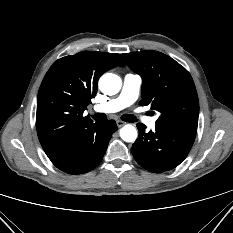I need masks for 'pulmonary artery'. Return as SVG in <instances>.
<instances>
[{
	"label": "pulmonary artery",
	"mask_w": 233,
	"mask_h": 233,
	"mask_svg": "<svg viewBox=\"0 0 233 233\" xmlns=\"http://www.w3.org/2000/svg\"><path fill=\"white\" fill-rule=\"evenodd\" d=\"M142 79L136 74H127L123 80L121 93L118 97L105 103L96 105L94 110L102 113H116L132 105L138 98ZM144 122L148 127L153 128L156 125V117H136Z\"/></svg>",
	"instance_id": "pulmonary-artery-1"
}]
</instances>
